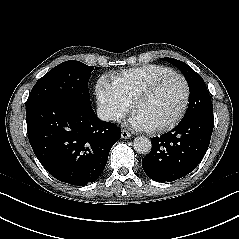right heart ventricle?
I'll list each match as a JSON object with an SVG mask.
<instances>
[{
  "instance_id": "obj_1",
  "label": "right heart ventricle",
  "mask_w": 239,
  "mask_h": 239,
  "mask_svg": "<svg viewBox=\"0 0 239 239\" xmlns=\"http://www.w3.org/2000/svg\"><path fill=\"white\" fill-rule=\"evenodd\" d=\"M172 71L170 68L149 64L111 75V83L116 92L129 104L134 96L156 77Z\"/></svg>"
}]
</instances>
